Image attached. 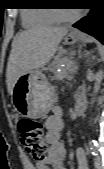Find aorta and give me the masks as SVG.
I'll list each match as a JSON object with an SVG mask.
<instances>
[{"mask_svg":"<svg viewBox=\"0 0 104 169\" xmlns=\"http://www.w3.org/2000/svg\"><path fill=\"white\" fill-rule=\"evenodd\" d=\"M101 82H102V72L99 71L95 76V83H94V87H93L91 105H93L95 102L96 95L98 94L100 87H101Z\"/></svg>","mask_w":104,"mask_h":169,"instance_id":"762f6f07","label":"aorta"}]
</instances>
